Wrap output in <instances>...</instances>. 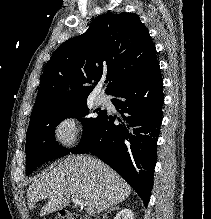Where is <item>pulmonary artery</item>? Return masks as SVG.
I'll return each instance as SVG.
<instances>
[{
  "label": "pulmonary artery",
  "mask_w": 211,
  "mask_h": 219,
  "mask_svg": "<svg viewBox=\"0 0 211 219\" xmlns=\"http://www.w3.org/2000/svg\"><path fill=\"white\" fill-rule=\"evenodd\" d=\"M96 103L98 105H107L109 104V99L106 95L104 94H99L97 97H96Z\"/></svg>",
  "instance_id": "obj_1"
}]
</instances>
